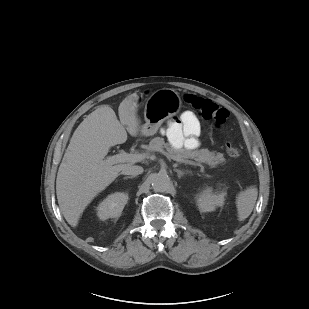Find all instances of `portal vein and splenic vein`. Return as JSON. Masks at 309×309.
<instances>
[{
  "mask_svg": "<svg viewBox=\"0 0 309 309\" xmlns=\"http://www.w3.org/2000/svg\"><path fill=\"white\" fill-rule=\"evenodd\" d=\"M164 155L167 156V153L165 151H162ZM146 155L145 153H137V154H132V153H126V152H121L119 154L107 157L103 162L107 165H114L117 163H124V162H140L143 159H145ZM197 166L204 167L202 164L197 163Z\"/></svg>",
  "mask_w": 309,
  "mask_h": 309,
  "instance_id": "18ae733b",
  "label": "portal vein and splenic vein"
}]
</instances>
